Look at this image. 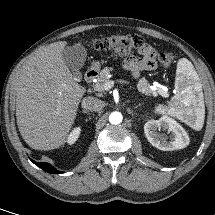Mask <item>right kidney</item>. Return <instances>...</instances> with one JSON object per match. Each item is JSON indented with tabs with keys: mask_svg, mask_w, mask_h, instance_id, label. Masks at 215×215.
Wrapping results in <instances>:
<instances>
[{
	"mask_svg": "<svg viewBox=\"0 0 215 215\" xmlns=\"http://www.w3.org/2000/svg\"><path fill=\"white\" fill-rule=\"evenodd\" d=\"M81 132V128L80 127H75L72 132L68 135L67 138V143L69 145H72L76 142V140L78 139L79 135Z\"/></svg>",
	"mask_w": 215,
	"mask_h": 215,
	"instance_id": "right-kidney-1",
	"label": "right kidney"
}]
</instances>
